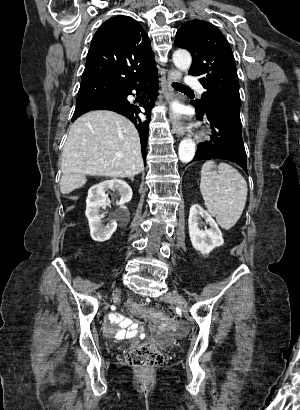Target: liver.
Here are the masks:
<instances>
[{
	"instance_id": "1",
	"label": "liver",
	"mask_w": 300,
	"mask_h": 410,
	"mask_svg": "<svg viewBox=\"0 0 300 410\" xmlns=\"http://www.w3.org/2000/svg\"><path fill=\"white\" fill-rule=\"evenodd\" d=\"M60 191L69 194L86 183V175L133 177L144 170L135 126L122 115L98 110L70 127L61 155Z\"/></svg>"
}]
</instances>
